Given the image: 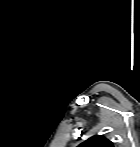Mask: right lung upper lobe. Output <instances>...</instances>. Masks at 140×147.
Segmentation results:
<instances>
[{
    "mask_svg": "<svg viewBox=\"0 0 140 147\" xmlns=\"http://www.w3.org/2000/svg\"><path fill=\"white\" fill-rule=\"evenodd\" d=\"M83 147H112V143L103 136L96 135L81 144Z\"/></svg>",
    "mask_w": 140,
    "mask_h": 147,
    "instance_id": "1",
    "label": "right lung upper lobe"
}]
</instances>
